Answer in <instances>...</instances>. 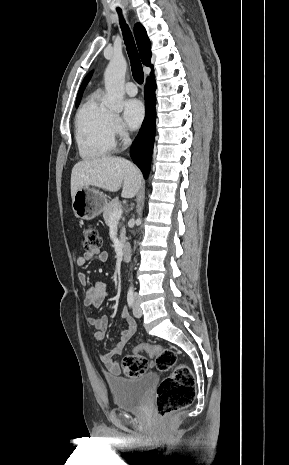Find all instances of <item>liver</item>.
Wrapping results in <instances>:
<instances>
[{"label":"liver","instance_id":"1","mask_svg":"<svg viewBox=\"0 0 289 465\" xmlns=\"http://www.w3.org/2000/svg\"><path fill=\"white\" fill-rule=\"evenodd\" d=\"M142 184L140 170L130 161L120 157H101L76 163L71 173V197L88 186L110 192L122 187L123 198H133Z\"/></svg>","mask_w":289,"mask_h":465}]
</instances>
